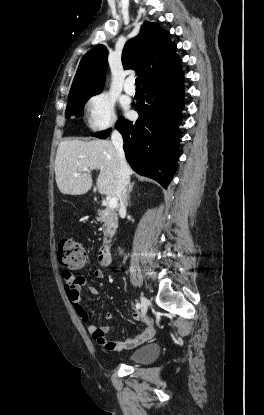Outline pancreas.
Returning <instances> with one entry per match:
<instances>
[{
  "label": "pancreas",
  "mask_w": 264,
  "mask_h": 415,
  "mask_svg": "<svg viewBox=\"0 0 264 415\" xmlns=\"http://www.w3.org/2000/svg\"><path fill=\"white\" fill-rule=\"evenodd\" d=\"M98 220L104 223V242H107V238L114 236L118 228L117 214L114 210L106 208L98 212Z\"/></svg>",
  "instance_id": "cf45deb5"
}]
</instances>
